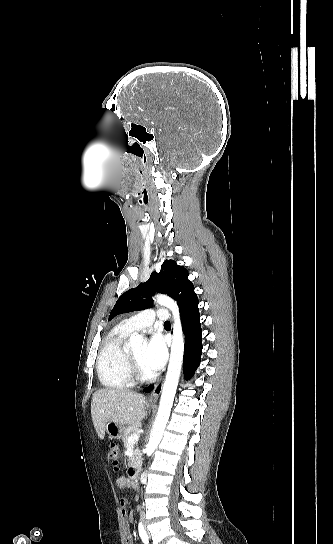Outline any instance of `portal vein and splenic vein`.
<instances>
[{"instance_id": "18ae733b", "label": "portal vein and splenic vein", "mask_w": 333, "mask_h": 544, "mask_svg": "<svg viewBox=\"0 0 333 544\" xmlns=\"http://www.w3.org/2000/svg\"><path fill=\"white\" fill-rule=\"evenodd\" d=\"M139 439V435L136 433V434H132L129 438H128V444H134L138 441Z\"/></svg>"}]
</instances>
